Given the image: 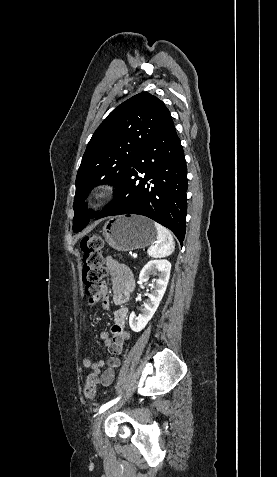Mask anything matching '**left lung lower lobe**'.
Here are the masks:
<instances>
[{"label": "left lung lower lobe", "instance_id": "0a47b994", "mask_svg": "<svg viewBox=\"0 0 277 477\" xmlns=\"http://www.w3.org/2000/svg\"><path fill=\"white\" fill-rule=\"evenodd\" d=\"M186 192L185 156L171 120L135 157L117 188L116 199L95 220L121 214L147 216L169 228L182 245L186 232Z\"/></svg>", "mask_w": 277, "mask_h": 477}]
</instances>
